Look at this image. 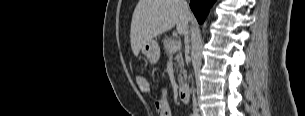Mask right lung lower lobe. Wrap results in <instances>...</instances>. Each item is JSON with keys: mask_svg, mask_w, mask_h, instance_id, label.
<instances>
[{"mask_svg": "<svg viewBox=\"0 0 305 116\" xmlns=\"http://www.w3.org/2000/svg\"><path fill=\"white\" fill-rule=\"evenodd\" d=\"M215 0H191L190 7L199 23H202Z\"/></svg>", "mask_w": 305, "mask_h": 116, "instance_id": "obj_1", "label": "right lung lower lobe"}]
</instances>
